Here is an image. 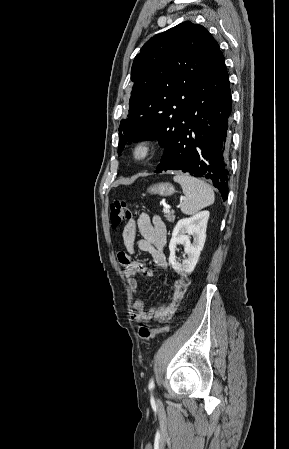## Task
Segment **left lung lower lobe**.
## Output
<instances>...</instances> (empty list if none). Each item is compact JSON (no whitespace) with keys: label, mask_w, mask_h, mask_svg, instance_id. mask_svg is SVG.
<instances>
[{"label":"left lung lower lobe","mask_w":289,"mask_h":449,"mask_svg":"<svg viewBox=\"0 0 289 449\" xmlns=\"http://www.w3.org/2000/svg\"><path fill=\"white\" fill-rule=\"evenodd\" d=\"M231 110L229 76L224 56L218 50L195 86L188 109L177 124L167 153L155 172L181 170L210 179L225 201Z\"/></svg>","instance_id":"0a47b994"}]
</instances>
